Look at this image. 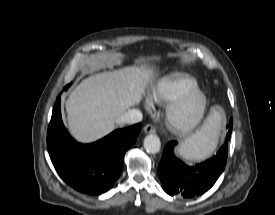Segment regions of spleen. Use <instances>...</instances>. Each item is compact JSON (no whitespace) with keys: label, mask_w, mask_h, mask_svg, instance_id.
Returning a JSON list of instances; mask_svg holds the SVG:
<instances>
[{"label":"spleen","mask_w":275,"mask_h":215,"mask_svg":"<svg viewBox=\"0 0 275 215\" xmlns=\"http://www.w3.org/2000/svg\"><path fill=\"white\" fill-rule=\"evenodd\" d=\"M223 119L224 115L220 109H212L203 126L181 143L178 153L186 160L209 157L216 147Z\"/></svg>","instance_id":"spleen-1"}]
</instances>
